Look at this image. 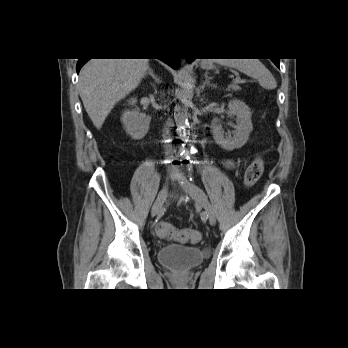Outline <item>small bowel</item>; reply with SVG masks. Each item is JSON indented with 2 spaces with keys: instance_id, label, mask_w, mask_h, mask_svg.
Here are the masks:
<instances>
[{
  "instance_id": "small-bowel-1",
  "label": "small bowel",
  "mask_w": 348,
  "mask_h": 348,
  "mask_svg": "<svg viewBox=\"0 0 348 348\" xmlns=\"http://www.w3.org/2000/svg\"><path fill=\"white\" fill-rule=\"evenodd\" d=\"M224 165L228 168V169H232L235 167V163L232 160H225L224 161Z\"/></svg>"
}]
</instances>
